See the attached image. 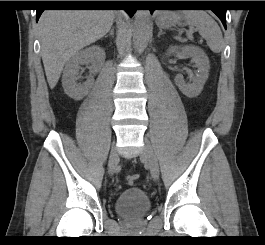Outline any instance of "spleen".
I'll list each match as a JSON object with an SVG mask.
<instances>
[{
  "mask_svg": "<svg viewBox=\"0 0 265 245\" xmlns=\"http://www.w3.org/2000/svg\"><path fill=\"white\" fill-rule=\"evenodd\" d=\"M186 23L198 30L199 34L205 38L207 45L214 53H219L224 49V40L218 24L205 11H183Z\"/></svg>",
  "mask_w": 265,
  "mask_h": 245,
  "instance_id": "spleen-1",
  "label": "spleen"
}]
</instances>
